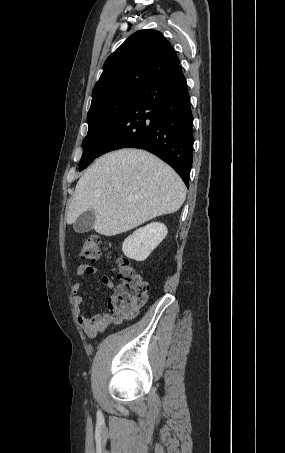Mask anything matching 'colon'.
<instances>
[{"label":"colon","instance_id":"obj_1","mask_svg":"<svg viewBox=\"0 0 285 453\" xmlns=\"http://www.w3.org/2000/svg\"><path fill=\"white\" fill-rule=\"evenodd\" d=\"M101 254V239L98 235L84 239L80 251L83 259L94 262L100 259ZM116 271L119 284L114 300L125 317H134L147 302L149 284L129 260L122 256L116 257Z\"/></svg>","mask_w":285,"mask_h":453}]
</instances>
